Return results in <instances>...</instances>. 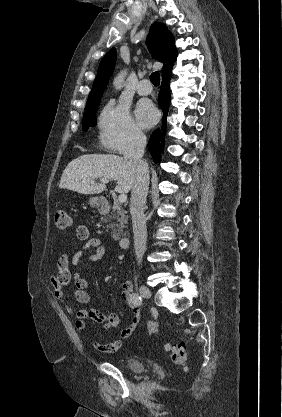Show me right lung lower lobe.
I'll use <instances>...</instances> for the list:
<instances>
[{"label":"right lung lower lobe","instance_id":"obj_1","mask_svg":"<svg viewBox=\"0 0 282 417\" xmlns=\"http://www.w3.org/2000/svg\"><path fill=\"white\" fill-rule=\"evenodd\" d=\"M170 79H171V70L162 74V85L159 94V104L164 113L163 115V125L161 130H155L152 135L150 136L148 142V149L151 153L153 160L155 163H159L161 159V153L163 152L164 148V140H165V131H166V117L168 114V109L170 105Z\"/></svg>","mask_w":282,"mask_h":417}]
</instances>
